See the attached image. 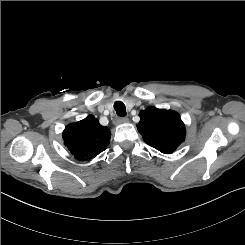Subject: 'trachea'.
I'll return each mask as SVG.
<instances>
[{"mask_svg":"<svg viewBox=\"0 0 245 245\" xmlns=\"http://www.w3.org/2000/svg\"><path fill=\"white\" fill-rule=\"evenodd\" d=\"M114 109L118 116H126V107L123 102L117 101L114 103Z\"/></svg>","mask_w":245,"mask_h":245,"instance_id":"obj_1","label":"trachea"}]
</instances>
